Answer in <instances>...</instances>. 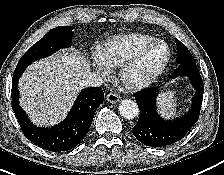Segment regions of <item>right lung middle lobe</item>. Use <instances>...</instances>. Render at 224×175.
Listing matches in <instances>:
<instances>
[{"label": "right lung middle lobe", "mask_w": 224, "mask_h": 175, "mask_svg": "<svg viewBox=\"0 0 224 175\" xmlns=\"http://www.w3.org/2000/svg\"><path fill=\"white\" fill-rule=\"evenodd\" d=\"M72 29V26H59L50 30L21 57L18 64L32 63L50 56L60 48L69 47L73 36Z\"/></svg>", "instance_id": "right-lung-middle-lobe-1"}]
</instances>
